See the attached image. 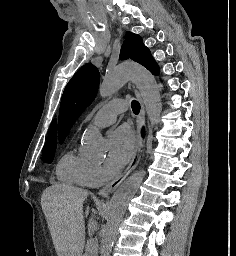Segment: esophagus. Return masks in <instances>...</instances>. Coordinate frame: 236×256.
<instances>
[{"mask_svg":"<svg viewBox=\"0 0 236 256\" xmlns=\"http://www.w3.org/2000/svg\"><path fill=\"white\" fill-rule=\"evenodd\" d=\"M134 92H135L137 99L140 102V105H141V109H140L139 115L136 120L137 129H136L135 150H134L132 159L129 163V166L126 168V170L123 173L119 174V176L114 178L108 184H106L99 191V195L103 196V197H108L110 194H112L118 188V186L122 183V181H124V179L136 168V166L138 165V163L141 159L143 146H144L143 138L141 136V128L145 123V107H144L143 100H142L141 95L138 92V90L134 88Z\"/></svg>","mask_w":236,"mask_h":256,"instance_id":"34e87169","label":"esophagus"}]
</instances>
